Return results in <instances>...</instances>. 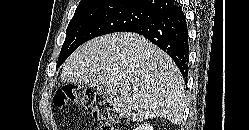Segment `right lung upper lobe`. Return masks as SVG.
<instances>
[{"label":"right lung upper lobe","instance_id":"cb5924a9","mask_svg":"<svg viewBox=\"0 0 249 130\" xmlns=\"http://www.w3.org/2000/svg\"><path fill=\"white\" fill-rule=\"evenodd\" d=\"M100 1H115L122 4H131L145 10L153 11L158 15L175 6L174 0H81L78 7Z\"/></svg>","mask_w":249,"mask_h":130}]
</instances>
